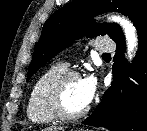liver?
Instances as JSON below:
<instances>
[{"instance_id": "obj_1", "label": "liver", "mask_w": 147, "mask_h": 131, "mask_svg": "<svg viewBox=\"0 0 147 131\" xmlns=\"http://www.w3.org/2000/svg\"><path fill=\"white\" fill-rule=\"evenodd\" d=\"M61 129H62L61 127H53V126H51V127H48V128H46L45 130H42V131H59Z\"/></svg>"}]
</instances>
